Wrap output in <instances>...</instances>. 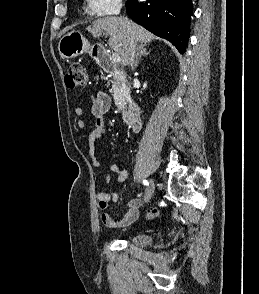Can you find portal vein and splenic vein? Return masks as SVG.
<instances>
[{
    "label": "portal vein and splenic vein",
    "mask_w": 259,
    "mask_h": 294,
    "mask_svg": "<svg viewBox=\"0 0 259 294\" xmlns=\"http://www.w3.org/2000/svg\"><path fill=\"white\" fill-rule=\"evenodd\" d=\"M114 63H119L121 61V58L119 54L113 53L111 58H110Z\"/></svg>",
    "instance_id": "18ae733b"
}]
</instances>
